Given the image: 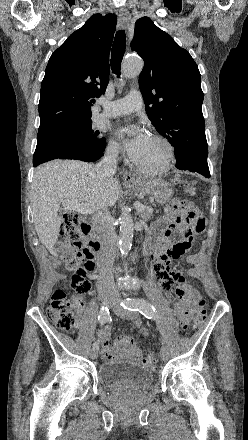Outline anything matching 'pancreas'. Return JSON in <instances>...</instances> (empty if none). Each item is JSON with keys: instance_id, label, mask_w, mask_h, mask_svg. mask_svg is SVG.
Instances as JSON below:
<instances>
[{"instance_id": "cf45deb5", "label": "pancreas", "mask_w": 248, "mask_h": 440, "mask_svg": "<svg viewBox=\"0 0 248 440\" xmlns=\"http://www.w3.org/2000/svg\"><path fill=\"white\" fill-rule=\"evenodd\" d=\"M152 212H153V210L151 208H146L145 207L144 211L139 212V216L144 221H148V220H151L153 218Z\"/></svg>"}]
</instances>
